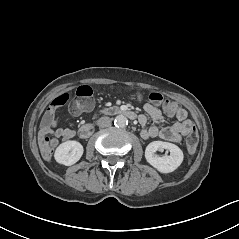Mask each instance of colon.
I'll use <instances>...</instances> for the list:
<instances>
[{"mask_svg": "<svg viewBox=\"0 0 239 239\" xmlns=\"http://www.w3.org/2000/svg\"><path fill=\"white\" fill-rule=\"evenodd\" d=\"M149 100L154 104L162 106L167 114H173L177 110V105L173 101L166 100L161 94L151 93ZM68 101L67 94H61L57 96L50 104L49 108L45 112L42 120V125L47 127L51 125L55 119V115L58 109ZM93 106V90L89 86H80L76 90V98L70 105L72 113L77 114L82 111L91 109ZM198 133L196 130H192L186 140L187 151L189 155H193L198 145Z\"/></svg>", "mask_w": 239, "mask_h": 239, "instance_id": "5ec220e1", "label": "colon"}]
</instances>
